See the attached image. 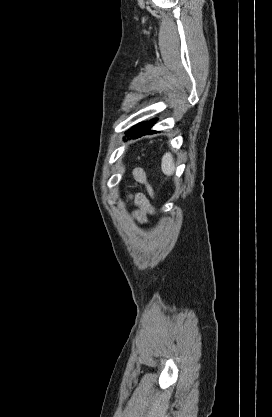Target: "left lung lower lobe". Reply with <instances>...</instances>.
Segmentation results:
<instances>
[{"label":"left lung lower lobe","mask_w":272,"mask_h":417,"mask_svg":"<svg viewBox=\"0 0 272 417\" xmlns=\"http://www.w3.org/2000/svg\"><path fill=\"white\" fill-rule=\"evenodd\" d=\"M155 122H156V119L150 120L149 122H146L139 129L127 133L126 136L139 137V136H141L143 134L154 133L155 131H151L150 128L155 124Z\"/></svg>","instance_id":"obj_1"}]
</instances>
